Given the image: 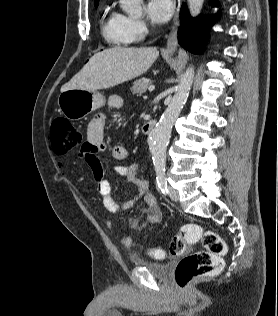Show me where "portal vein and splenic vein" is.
<instances>
[{
	"instance_id": "obj_1",
	"label": "portal vein and splenic vein",
	"mask_w": 278,
	"mask_h": 316,
	"mask_svg": "<svg viewBox=\"0 0 278 316\" xmlns=\"http://www.w3.org/2000/svg\"><path fill=\"white\" fill-rule=\"evenodd\" d=\"M148 89H149V91H153L155 89V86L154 85H150Z\"/></svg>"
}]
</instances>
